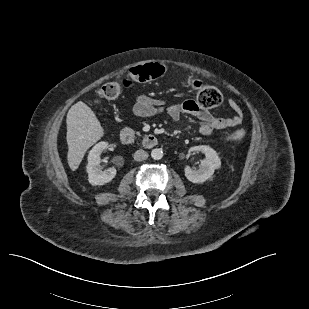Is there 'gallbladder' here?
I'll list each match as a JSON object with an SVG mask.
<instances>
[{
  "mask_svg": "<svg viewBox=\"0 0 309 309\" xmlns=\"http://www.w3.org/2000/svg\"><path fill=\"white\" fill-rule=\"evenodd\" d=\"M94 102H95V103H99V101H98V100H95Z\"/></svg>",
  "mask_w": 309,
  "mask_h": 309,
  "instance_id": "obj_1",
  "label": "gallbladder"
}]
</instances>
